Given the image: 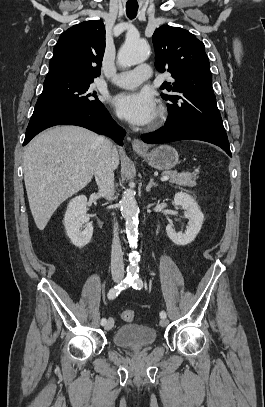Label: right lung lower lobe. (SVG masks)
<instances>
[{"label": "right lung lower lobe", "instance_id": "1", "mask_svg": "<svg viewBox=\"0 0 265 407\" xmlns=\"http://www.w3.org/2000/svg\"><path fill=\"white\" fill-rule=\"evenodd\" d=\"M55 125H77L85 127L98 134L111 137L119 145H123V138L126 135L125 130L115 123L106 108L102 105L66 111L29 124L23 145L29 143L39 132Z\"/></svg>", "mask_w": 265, "mask_h": 407}]
</instances>
